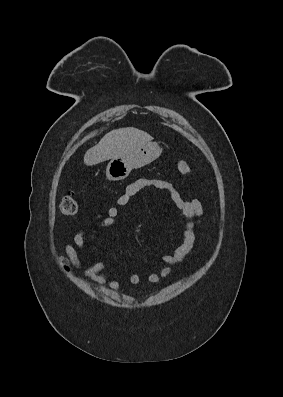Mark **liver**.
<instances>
[{"label": "liver", "mask_w": 283, "mask_h": 397, "mask_svg": "<svg viewBox=\"0 0 283 397\" xmlns=\"http://www.w3.org/2000/svg\"><path fill=\"white\" fill-rule=\"evenodd\" d=\"M152 139L148 133L133 127L112 130L97 145L87 150L84 163L92 166L109 159L126 157Z\"/></svg>", "instance_id": "6515ba94"}]
</instances>
